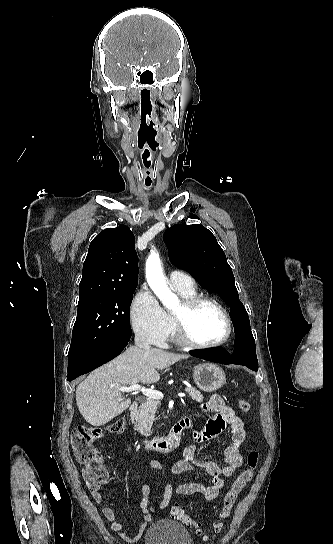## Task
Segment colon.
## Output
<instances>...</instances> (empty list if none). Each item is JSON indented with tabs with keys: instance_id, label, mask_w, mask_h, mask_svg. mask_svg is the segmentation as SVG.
Segmentation results:
<instances>
[{
	"instance_id": "colon-1",
	"label": "colon",
	"mask_w": 333,
	"mask_h": 544,
	"mask_svg": "<svg viewBox=\"0 0 333 544\" xmlns=\"http://www.w3.org/2000/svg\"><path fill=\"white\" fill-rule=\"evenodd\" d=\"M238 406L243 412H248L251 408L250 403L244 399L238 400ZM125 426V419L120 417L110 422L103 429L78 426L73 430L72 449L78 463L83 467L82 475L90 490L99 489L108 477L107 468L103 464L100 452L95 447V442L106 433L119 434L123 432ZM258 462V451H250L247 456V467L239 474L223 498L218 520L213 528V534H217L221 530L223 523L229 518L238 493L251 481ZM171 515L188 527L193 528L197 533H201L200 524L187 514L181 506L175 505L172 507Z\"/></svg>"
}]
</instances>
